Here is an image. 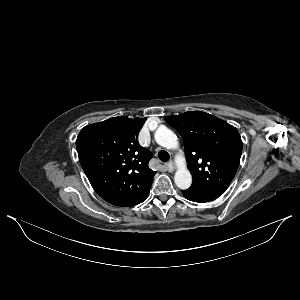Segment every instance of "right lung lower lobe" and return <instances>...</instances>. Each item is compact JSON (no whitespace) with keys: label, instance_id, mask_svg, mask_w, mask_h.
<instances>
[{"label":"right lung lower lobe","instance_id":"98d812e1","mask_svg":"<svg viewBox=\"0 0 300 300\" xmlns=\"http://www.w3.org/2000/svg\"><path fill=\"white\" fill-rule=\"evenodd\" d=\"M149 190H150V187L143 192L128 193V194L113 198L107 202L112 205L119 206V207L134 206V205H137V204L143 202L147 198V196L149 194Z\"/></svg>","mask_w":300,"mask_h":300}]
</instances>
